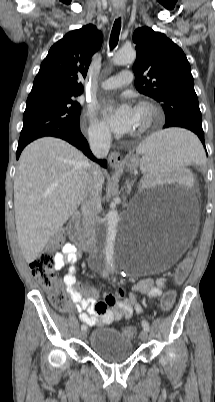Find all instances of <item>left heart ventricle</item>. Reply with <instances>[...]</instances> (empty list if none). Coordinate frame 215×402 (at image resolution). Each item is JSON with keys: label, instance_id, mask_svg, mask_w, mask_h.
Returning <instances> with one entry per match:
<instances>
[{"label": "left heart ventricle", "instance_id": "obj_1", "mask_svg": "<svg viewBox=\"0 0 215 402\" xmlns=\"http://www.w3.org/2000/svg\"><path fill=\"white\" fill-rule=\"evenodd\" d=\"M146 121V113L142 110L135 109V123L131 132L138 131Z\"/></svg>", "mask_w": 215, "mask_h": 402}]
</instances>
